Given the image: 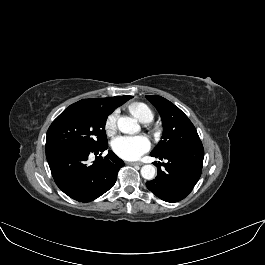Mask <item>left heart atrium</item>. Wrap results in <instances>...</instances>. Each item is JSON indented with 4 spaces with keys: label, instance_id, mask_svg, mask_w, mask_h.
Wrapping results in <instances>:
<instances>
[{
    "label": "left heart atrium",
    "instance_id": "39dd6f15",
    "mask_svg": "<svg viewBox=\"0 0 265 265\" xmlns=\"http://www.w3.org/2000/svg\"><path fill=\"white\" fill-rule=\"evenodd\" d=\"M149 147V141L144 136H119L112 143L113 151L127 160L139 158Z\"/></svg>",
    "mask_w": 265,
    "mask_h": 265
}]
</instances>
